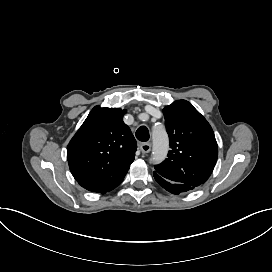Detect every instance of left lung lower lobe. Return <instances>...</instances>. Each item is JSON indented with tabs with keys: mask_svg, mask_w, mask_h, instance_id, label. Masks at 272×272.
I'll list each match as a JSON object with an SVG mask.
<instances>
[{
	"mask_svg": "<svg viewBox=\"0 0 272 272\" xmlns=\"http://www.w3.org/2000/svg\"><path fill=\"white\" fill-rule=\"evenodd\" d=\"M153 174H154V178L158 182V184L161 185L164 189H166L168 192H170L172 194L178 195L180 193L193 190L195 188V187L185 185L182 183H176V182L169 181V180L163 178L162 176H160L156 172H154Z\"/></svg>",
	"mask_w": 272,
	"mask_h": 272,
	"instance_id": "0a47b994",
	"label": "left lung lower lobe"
}]
</instances>
